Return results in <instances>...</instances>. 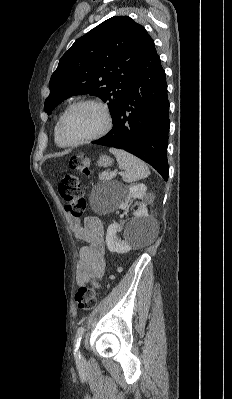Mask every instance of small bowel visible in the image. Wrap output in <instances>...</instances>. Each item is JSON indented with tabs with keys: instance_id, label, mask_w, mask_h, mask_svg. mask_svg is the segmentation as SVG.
<instances>
[{
	"instance_id": "obj_1",
	"label": "small bowel",
	"mask_w": 232,
	"mask_h": 399,
	"mask_svg": "<svg viewBox=\"0 0 232 399\" xmlns=\"http://www.w3.org/2000/svg\"><path fill=\"white\" fill-rule=\"evenodd\" d=\"M102 222L87 219L82 226L75 228L78 239L89 244L78 252L79 260L76 266V283L83 286L92 277H99L105 267L102 248Z\"/></svg>"
}]
</instances>
